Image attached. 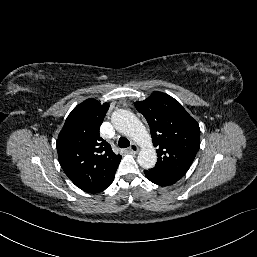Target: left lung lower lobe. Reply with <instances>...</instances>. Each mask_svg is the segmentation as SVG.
I'll list each match as a JSON object with an SVG mask.
<instances>
[{
  "label": "left lung lower lobe",
  "mask_w": 257,
  "mask_h": 257,
  "mask_svg": "<svg viewBox=\"0 0 257 257\" xmlns=\"http://www.w3.org/2000/svg\"><path fill=\"white\" fill-rule=\"evenodd\" d=\"M144 173L151 182L160 186H169L176 182V180L169 179L165 176L156 174L150 170H144Z\"/></svg>",
  "instance_id": "left-lung-lower-lobe-1"
}]
</instances>
